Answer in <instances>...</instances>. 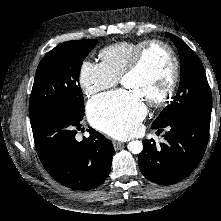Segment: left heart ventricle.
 Masks as SVG:
<instances>
[{
  "mask_svg": "<svg viewBox=\"0 0 221 221\" xmlns=\"http://www.w3.org/2000/svg\"><path fill=\"white\" fill-rule=\"evenodd\" d=\"M171 70L167 52L160 46L150 48L140 68L123 80V85L138 93L144 100H152L165 90Z\"/></svg>",
  "mask_w": 221,
  "mask_h": 221,
  "instance_id": "1",
  "label": "left heart ventricle"
}]
</instances>
